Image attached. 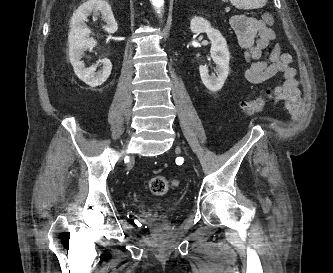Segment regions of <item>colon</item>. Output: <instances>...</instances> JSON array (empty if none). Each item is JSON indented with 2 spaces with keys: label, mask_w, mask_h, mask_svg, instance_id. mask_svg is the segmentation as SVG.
Segmentation results:
<instances>
[{
  "label": "colon",
  "mask_w": 333,
  "mask_h": 273,
  "mask_svg": "<svg viewBox=\"0 0 333 273\" xmlns=\"http://www.w3.org/2000/svg\"><path fill=\"white\" fill-rule=\"evenodd\" d=\"M263 21L267 25L273 24V16L271 13H265L263 15ZM271 52V50H269ZM266 104V94H262L254 99L248 100L243 103L242 108L245 113L249 115H253L259 111H261ZM177 181H169L167 178L163 176H154L149 181V189L150 191L157 196H161L166 194L171 186L177 185Z\"/></svg>",
  "instance_id": "5ec220e1"
}]
</instances>
